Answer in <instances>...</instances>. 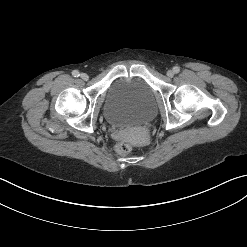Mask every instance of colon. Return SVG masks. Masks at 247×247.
Instances as JSON below:
<instances>
[{"instance_id": "1", "label": "colon", "mask_w": 247, "mask_h": 247, "mask_svg": "<svg viewBox=\"0 0 247 247\" xmlns=\"http://www.w3.org/2000/svg\"><path fill=\"white\" fill-rule=\"evenodd\" d=\"M131 149L132 147L128 142H121L116 146V152L120 155H127Z\"/></svg>"}]
</instances>
